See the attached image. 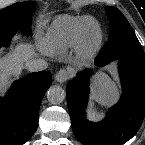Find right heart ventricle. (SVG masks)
Listing matches in <instances>:
<instances>
[{
	"instance_id": "obj_1",
	"label": "right heart ventricle",
	"mask_w": 145,
	"mask_h": 145,
	"mask_svg": "<svg viewBox=\"0 0 145 145\" xmlns=\"http://www.w3.org/2000/svg\"><path fill=\"white\" fill-rule=\"evenodd\" d=\"M97 21L90 16H57L39 39V46L48 55H61L80 45L84 35Z\"/></svg>"
}]
</instances>
